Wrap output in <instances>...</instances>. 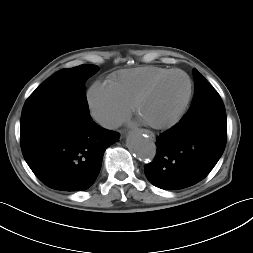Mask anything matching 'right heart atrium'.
Segmentation results:
<instances>
[{
    "label": "right heart atrium",
    "instance_id": "d8ad5b80",
    "mask_svg": "<svg viewBox=\"0 0 253 253\" xmlns=\"http://www.w3.org/2000/svg\"><path fill=\"white\" fill-rule=\"evenodd\" d=\"M87 103L92 116L103 126L113 128L129 115L130 107L108 84L94 82L87 93Z\"/></svg>",
    "mask_w": 253,
    "mask_h": 253
}]
</instances>
